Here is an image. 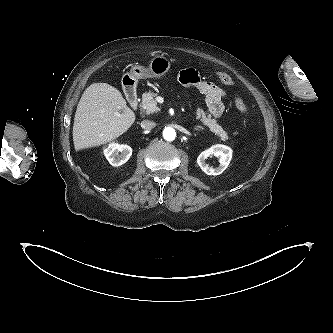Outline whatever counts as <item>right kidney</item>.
I'll return each mask as SVG.
<instances>
[{
  "mask_svg": "<svg viewBox=\"0 0 333 333\" xmlns=\"http://www.w3.org/2000/svg\"><path fill=\"white\" fill-rule=\"evenodd\" d=\"M104 155L108 162L115 167L121 166L132 155V148L128 145L111 143L104 149Z\"/></svg>",
  "mask_w": 333,
  "mask_h": 333,
  "instance_id": "right-kidney-1",
  "label": "right kidney"
}]
</instances>
